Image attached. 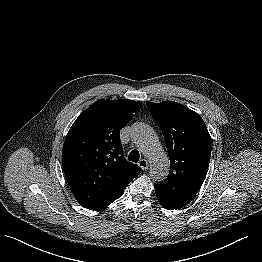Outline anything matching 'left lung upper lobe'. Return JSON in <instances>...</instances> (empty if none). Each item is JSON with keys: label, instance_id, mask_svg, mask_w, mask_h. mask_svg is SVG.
I'll return each instance as SVG.
<instances>
[{"label": "left lung upper lobe", "instance_id": "5c2ea615", "mask_svg": "<svg viewBox=\"0 0 262 262\" xmlns=\"http://www.w3.org/2000/svg\"><path fill=\"white\" fill-rule=\"evenodd\" d=\"M159 124L170 159L164 182L155 184L164 192L191 201L201 188L209 167L212 140L202 118L176 102H146Z\"/></svg>", "mask_w": 262, "mask_h": 262}]
</instances>
